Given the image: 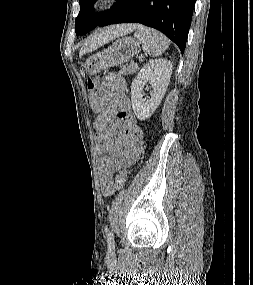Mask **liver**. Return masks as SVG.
<instances>
[{
    "instance_id": "liver-1",
    "label": "liver",
    "mask_w": 253,
    "mask_h": 285,
    "mask_svg": "<svg viewBox=\"0 0 253 285\" xmlns=\"http://www.w3.org/2000/svg\"><path fill=\"white\" fill-rule=\"evenodd\" d=\"M136 27L137 25L135 24H122V25L107 27L101 30L99 33H96L84 43L79 52V57L83 56L85 53L97 49L98 47L103 46L105 43L117 37L123 36L135 30Z\"/></svg>"
}]
</instances>
